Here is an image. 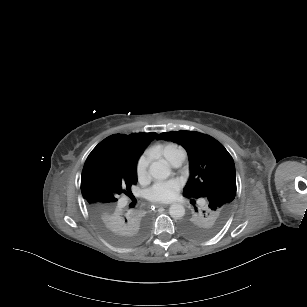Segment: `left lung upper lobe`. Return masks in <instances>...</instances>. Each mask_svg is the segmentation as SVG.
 <instances>
[{
  "label": "left lung upper lobe",
  "mask_w": 307,
  "mask_h": 307,
  "mask_svg": "<svg viewBox=\"0 0 307 307\" xmlns=\"http://www.w3.org/2000/svg\"><path fill=\"white\" fill-rule=\"evenodd\" d=\"M164 139L182 145L189 156L190 178L183 195L208 201L200 211L195 209L181 223L182 232L193 239H205L218 232L224 225L230 204L236 193L235 165L233 158L214 138L191 131L161 133Z\"/></svg>",
  "instance_id": "obj_1"
}]
</instances>
